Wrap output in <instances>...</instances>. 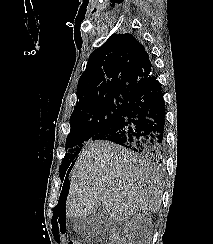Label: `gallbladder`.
I'll return each mask as SVG.
<instances>
[{"label":"gallbladder","instance_id":"obj_1","mask_svg":"<svg viewBox=\"0 0 213 244\" xmlns=\"http://www.w3.org/2000/svg\"><path fill=\"white\" fill-rule=\"evenodd\" d=\"M112 224V220L108 217L105 210L100 206L93 213L77 218L73 221V229L81 234H96L104 231L107 227Z\"/></svg>","mask_w":213,"mask_h":244}]
</instances>
